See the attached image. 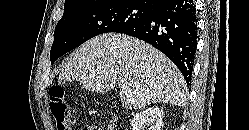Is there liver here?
I'll return each mask as SVG.
<instances>
[{"mask_svg":"<svg viewBox=\"0 0 249 130\" xmlns=\"http://www.w3.org/2000/svg\"><path fill=\"white\" fill-rule=\"evenodd\" d=\"M75 80L95 92L120 86L122 106L130 110L152 103L184 106L187 102V86L175 64L151 45L119 33L96 36L66 59L59 82Z\"/></svg>","mask_w":249,"mask_h":130,"instance_id":"1","label":"liver"}]
</instances>
